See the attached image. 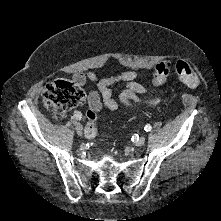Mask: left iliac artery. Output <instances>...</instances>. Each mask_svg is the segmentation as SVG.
Here are the masks:
<instances>
[{
  "instance_id": "obj_1",
  "label": "left iliac artery",
  "mask_w": 221,
  "mask_h": 221,
  "mask_svg": "<svg viewBox=\"0 0 221 221\" xmlns=\"http://www.w3.org/2000/svg\"><path fill=\"white\" fill-rule=\"evenodd\" d=\"M151 129H152V127H151L149 124L145 125V127H144V130H145L146 132L151 131Z\"/></svg>"
}]
</instances>
